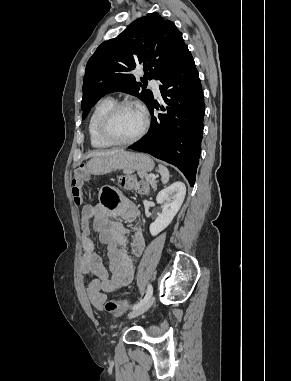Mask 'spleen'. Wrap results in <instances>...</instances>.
I'll return each mask as SVG.
<instances>
[{
  "instance_id": "spleen-1",
  "label": "spleen",
  "mask_w": 291,
  "mask_h": 381,
  "mask_svg": "<svg viewBox=\"0 0 291 381\" xmlns=\"http://www.w3.org/2000/svg\"><path fill=\"white\" fill-rule=\"evenodd\" d=\"M159 172L161 174L162 183L166 184L170 178L169 170L165 166L159 164Z\"/></svg>"
}]
</instances>
